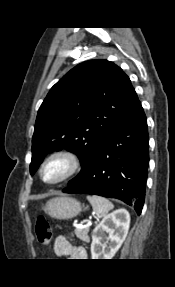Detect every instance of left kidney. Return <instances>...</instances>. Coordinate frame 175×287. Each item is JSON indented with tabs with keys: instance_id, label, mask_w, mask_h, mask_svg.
<instances>
[{
	"instance_id": "5707ae66",
	"label": "left kidney",
	"mask_w": 175,
	"mask_h": 287,
	"mask_svg": "<svg viewBox=\"0 0 175 287\" xmlns=\"http://www.w3.org/2000/svg\"><path fill=\"white\" fill-rule=\"evenodd\" d=\"M129 225L130 214L125 209L104 216L93 231L92 259H112L126 239Z\"/></svg>"
}]
</instances>
